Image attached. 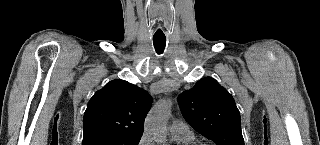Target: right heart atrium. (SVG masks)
Returning <instances> with one entry per match:
<instances>
[{
	"instance_id": "right-heart-atrium-1",
	"label": "right heart atrium",
	"mask_w": 320,
	"mask_h": 145,
	"mask_svg": "<svg viewBox=\"0 0 320 145\" xmlns=\"http://www.w3.org/2000/svg\"><path fill=\"white\" fill-rule=\"evenodd\" d=\"M138 145H152V142L150 140V138L148 137V135L144 134L141 136Z\"/></svg>"
}]
</instances>
